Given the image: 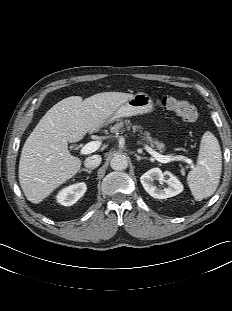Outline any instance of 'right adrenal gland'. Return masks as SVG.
Masks as SVG:
<instances>
[{
  "label": "right adrenal gland",
  "mask_w": 232,
  "mask_h": 311,
  "mask_svg": "<svg viewBox=\"0 0 232 311\" xmlns=\"http://www.w3.org/2000/svg\"><path fill=\"white\" fill-rule=\"evenodd\" d=\"M82 171H84V172H87V173L91 174L92 169H86V168H83V169H81L79 172H82Z\"/></svg>",
  "instance_id": "1"
}]
</instances>
